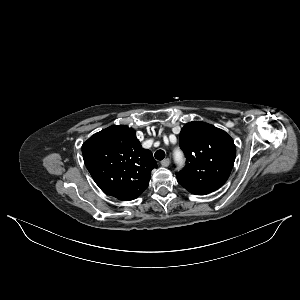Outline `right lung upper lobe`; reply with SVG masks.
Listing matches in <instances>:
<instances>
[{
	"mask_svg": "<svg viewBox=\"0 0 300 300\" xmlns=\"http://www.w3.org/2000/svg\"><path fill=\"white\" fill-rule=\"evenodd\" d=\"M85 165L95 183L107 195L129 201L149 185L157 168L151 151L141 147L135 131L125 125L110 126L82 145Z\"/></svg>",
	"mask_w": 300,
	"mask_h": 300,
	"instance_id": "1",
	"label": "right lung upper lobe"
}]
</instances>
